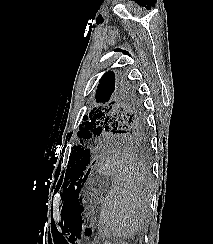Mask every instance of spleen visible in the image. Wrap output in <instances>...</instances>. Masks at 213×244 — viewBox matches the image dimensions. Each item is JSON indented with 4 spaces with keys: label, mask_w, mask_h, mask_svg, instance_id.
I'll list each match as a JSON object with an SVG mask.
<instances>
[{
    "label": "spleen",
    "mask_w": 213,
    "mask_h": 244,
    "mask_svg": "<svg viewBox=\"0 0 213 244\" xmlns=\"http://www.w3.org/2000/svg\"><path fill=\"white\" fill-rule=\"evenodd\" d=\"M102 169L111 176L112 188L101 206L100 233L103 237H133L147 218L150 176L142 164L125 154L108 158Z\"/></svg>",
    "instance_id": "spleen-1"
}]
</instances>
